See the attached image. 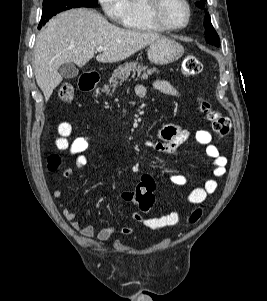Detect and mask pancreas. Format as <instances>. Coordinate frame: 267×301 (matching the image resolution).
<instances>
[{
  "mask_svg": "<svg viewBox=\"0 0 267 301\" xmlns=\"http://www.w3.org/2000/svg\"><path fill=\"white\" fill-rule=\"evenodd\" d=\"M156 71V68L149 69L147 66L138 64V62L125 63L120 65L112 74L107 85L103 87L106 94L112 95L118 85H121L129 76L138 79H147L149 75Z\"/></svg>",
  "mask_w": 267,
  "mask_h": 301,
  "instance_id": "1",
  "label": "pancreas"
}]
</instances>
